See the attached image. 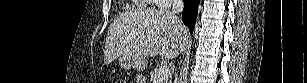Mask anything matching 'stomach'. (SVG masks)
Here are the masks:
<instances>
[{"label":"stomach","instance_id":"0dacf381","mask_svg":"<svg viewBox=\"0 0 307 83\" xmlns=\"http://www.w3.org/2000/svg\"><path fill=\"white\" fill-rule=\"evenodd\" d=\"M119 64L124 69L141 70L145 68L147 62L146 60H137L132 57L122 56L119 58Z\"/></svg>","mask_w":307,"mask_h":83}]
</instances>
